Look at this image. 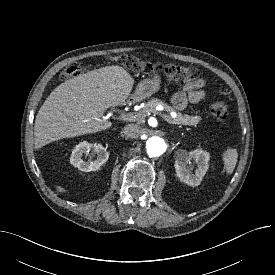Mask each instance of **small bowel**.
Segmentation results:
<instances>
[{"label":"small bowel","mask_w":275,"mask_h":275,"mask_svg":"<svg viewBox=\"0 0 275 275\" xmlns=\"http://www.w3.org/2000/svg\"><path fill=\"white\" fill-rule=\"evenodd\" d=\"M204 81L197 80L189 83L178 91L172 99L174 107L178 110H183L187 104L199 103L205 98Z\"/></svg>","instance_id":"1"}]
</instances>
